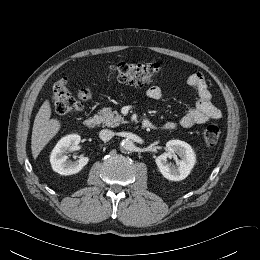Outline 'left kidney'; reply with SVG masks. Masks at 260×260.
Here are the masks:
<instances>
[{"label":"left kidney","mask_w":260,"mask_h":260,"mask_svg":"<svg viewBox=\"0 0 260 260\" xmlns=\"http://www.w3.org/2000/svg\"><path fill=\"white\" fill-rule=\"evenodd\" d=\"M177 154L180 160L175 165H169L168 158ZM161 174L168 180L180 181L185 179L195 164V153L191 146L180 140H170L166 143V152L155 159Z\"/></svg>","instance_id":"left-kidney-1"}]
</instances>
